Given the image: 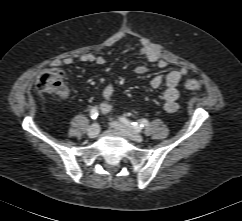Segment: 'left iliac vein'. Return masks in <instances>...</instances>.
Instances as JSON below:
<instances>
[{
    "instance_id": "1",
    "label": "left iliac vein",
    "mask_w": 242,
    "mask_h": 221,
    "mask_svg": "<svg viewBox=\"0 0 242 221\" xmlns=\"http://www.w3.org/2000/svg\"><path fill=\"white\" fill-rule=\"evenodd\" d=\"M111 127L114 128L115 130L121 132L124 136L130 138L131 140H134L136 142H142L143 141V136L138 133L137 131L127 127L126 125L113 121L110 123Z\"/></svg>"
}]
</instances>
